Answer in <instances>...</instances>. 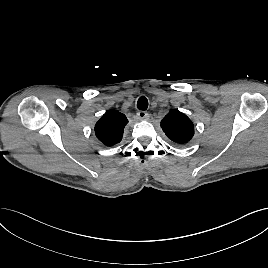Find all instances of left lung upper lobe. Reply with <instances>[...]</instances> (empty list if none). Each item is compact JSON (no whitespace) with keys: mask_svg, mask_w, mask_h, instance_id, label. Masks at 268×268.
<instances>
[{"mask_svg":"<svg viewBox=\"0 0 268 268\" xmlns=\"http://www.w3.org/2000/svg\"><path fill=\"white\" fill-rule=\"evenodd\" d=\"M161 128L166 136L178 145L188 143L194 136L192 121L185 114L175 109L163 118Z\"/></svg>","mask_w":268,"mask_h":268,"instance_id":"obj_1","label":"left lung upper lobe"}]
</instances>
